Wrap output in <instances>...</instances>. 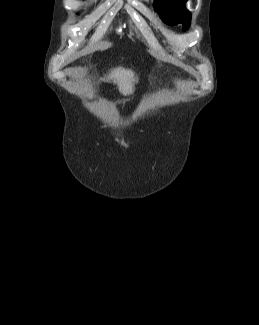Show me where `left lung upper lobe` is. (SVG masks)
I'll list each match as a JSON object with an SVG mask.
<instances>
[{
  "instance_id": "obj_1",
  "label": "left lung upper lobe",
  "mask_w": 259,
  "mask_h": 325,
  "mask_svg": "<svg viewBox=\"0 0 259 325\" xmlns=\"http://www.w3.org/2000/svg\"><path fill=\"white\" fill-rule=\"evenodd\" d=\"M187 0H155V10L169 25L182 24L187 30L191 22V13L186 9Z\"/></svg>"
}]
</instances>
